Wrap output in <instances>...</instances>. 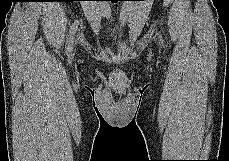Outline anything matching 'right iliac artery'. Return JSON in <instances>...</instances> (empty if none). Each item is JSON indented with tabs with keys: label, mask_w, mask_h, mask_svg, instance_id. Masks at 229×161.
I'll return each instance as SVG.
<instances>
[{
	"label": "right iliac artery",
	"mask_w": 229,
	"mask_h": 161,
	"mask_svg": "<svg viewBox=\"0 0 229 161\" xmlns=\"http://www.w3.org/2000/svg\"><path fill=\"white\" fill-rule=\"evenodd\" d=\"M78 28V20H75L74 23L71 26V29L69 31V35L67 38V47H66V52L67 55L70 57L71 56V52L73 49V43H74V39H75V34Z\"/></svg>",
	"instance_id": "right-iliac-artery-1"
}]
</instances>
